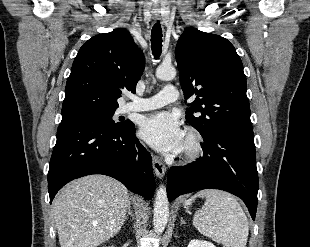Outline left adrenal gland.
<instances>
[{
  "label": "left adrenal gland",
  "mask_w": 310,
  "mask_h": 247,
  "mask_svg": "<svg viewBox=\"0 0 310 247\" xmlns=\"http://www.w3.org/2000/svg\"><path fill=\"white\" fill-rule=\"evenodd\" d=\"M181 224H185V220H183V218H181Z\"/></svg>",
  "instance_id": "a2214340"
}]
</instances>
